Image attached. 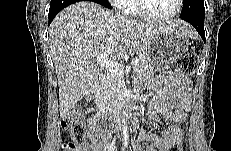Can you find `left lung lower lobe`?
Returning <instances> with one entry per match:
<instances>
[{
  "label": "left lung lower lobe",
  "mask_w": 231,
  "mask_h": 151,
  "mask_svg": "<svg viewBox=\"0 0 231 151\" xmlns=\"http://www.w3.org/2000/svg\"><path fill=\"white\" fill-rule=\"evenodd\" d=\"M204 17L205 8L203 4L194 5L188 13L180 14V18L192 24L205 42Z\"/></svg>",
  "instance_id": "1"
}]
</instances>
